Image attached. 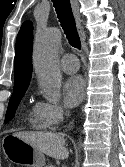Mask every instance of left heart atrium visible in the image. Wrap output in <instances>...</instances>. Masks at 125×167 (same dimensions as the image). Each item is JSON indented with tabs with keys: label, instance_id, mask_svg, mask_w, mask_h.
Listing matches in <instances>:
<instances>
[{
	"label": "left heart atrium",
	"instance_id": "39dd6f15",
	"mask_svg": "<svg viewBox=\"0 0 125 167\" xmlns=\"http://www.w3.org/2000/svg\"><path fill=\"white\" fill-rule=\"evenodd\" d=\"M85 93V82L81 76H70L63 85V96L69 107L77 106Z\"/></svg>",
	"mask_w": 125,
	"mask_h": 167
}]
</instances>
